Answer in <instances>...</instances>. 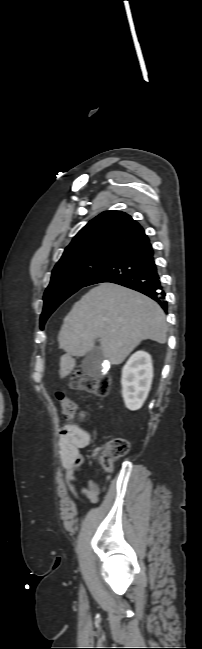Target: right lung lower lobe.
Listing matches in <instances>:
<instances>
[{"label": "right lung lower lobe", "mask_w": 202, "mask_h": 649, "mask_svg": "<svg viewBox=\"0 0 202 649\" xmlns=\"http://www.w3.org/2000/svg\"><path fill=\"white\" fill-rule=\"evenodd\" d=\"M112 282L139 291L167 310L163 284L154 262L148 237L115 254L104 263L84 285Z\"/></svg>", "instance_id": "obj_1"}]
</instances>
